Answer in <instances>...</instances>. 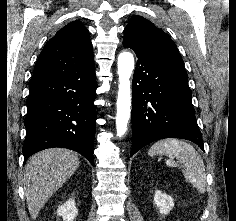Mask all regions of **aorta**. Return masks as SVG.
Masks as SVG:
<instances>
[{
	"label": "aorta",
	"mask_w": 236,
	"mask_h": 221,
	"mask_svg": "<svg viewBox=\"0 0 236 221\" xmlns=\"http://www.w3.org/2000/svg\"><path fill=\"white\" fill-rule=\"evenodd\" d=\"M134 70V57L132 53L124 51L118 56V98L116 114V132L119 138L127 132L131 113L130 77Z\"/></svg>",
	"instance_id": "1"
}]
</instances>
